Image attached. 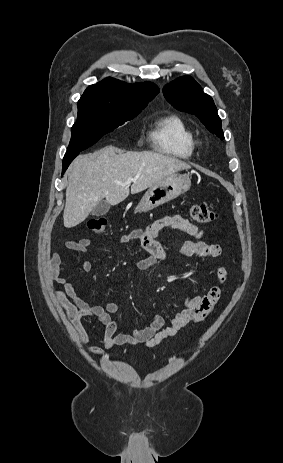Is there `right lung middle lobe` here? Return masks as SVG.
<instances>
[{"mask_svg":"<svg viewBox=\"0 0 283 463\" xmlns=\"http://www.w3.org/2000/svg\"><path fill=\"white\" fill-rule=\"evenodd\" d=\"M147 106L81 98L78 118L71 131L65 155L78 153L96 143L103 135L136 117Z\"/></svg>","mask_w":283,"mask_h":463,"instance_id":"obj_1","label":"right lung middle lobe"}]
</instances>
